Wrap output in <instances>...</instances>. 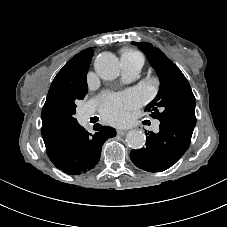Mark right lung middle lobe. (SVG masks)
I'll return each instance as SVG.
<instances>
[{
	"mask_svg": "<svg viewBox=\"0 0 227 227\" xmlns=\"http://www.w3.org/2000/svg\"><path fill=\"white\" fill-rule=\"evenodd\" d=\"M87 91V88H61L48 92L42 110L41 133L43 140L78 124L74 117L76 113L75 103L77 100L83 99Z\"/></svg>",
	"mask_w": 227,
	"mask_h": 227,
	"instance_id": "obj_1",
	"label": "right lung middle lobe"
}]
</instances>
